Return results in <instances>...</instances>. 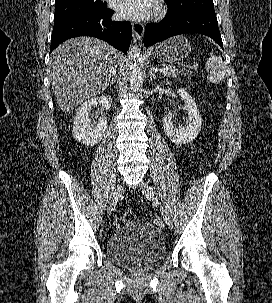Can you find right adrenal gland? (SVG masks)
Returning <instances> with one entry per match:
<instances>
[{
    "mask_svg": "<svg viewBox=\"0 0 272 303\" xmlns=\"http://www.w3.org/2000/svg\"><path fill=\"white\" fill-rule=\"evenodd\" d=\"M116 78H117V74L115 73L110 81V83L108 84V86H112L115 82H116Z\"/></svg>",
    "mask_w": 272,
    "mask_h": 303,
    "instance_id": "obj_1",
    "label": "right adrenal gland"
}]
</instances>
